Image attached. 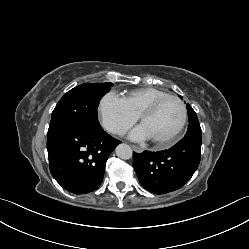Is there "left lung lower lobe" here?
I'll return each instance as SVG.
<instances>
[{
  "label": "left lung lower lobe",
  "mask_w": 249,
  "mask_h": 249,
  "mask_svg": "<svg viewBox=\"0 0 249 249\" xmlns=\"http://www.w3.org/2000/svg\"><path fill=\"white\" fill-rule=\"evenodd\" d=\"M201 137H184L168 150L133 152V167L142 186L154 194L181 188L198 168Z\"/></svg>",
  "instance_id": "1"
}]
</instances>
